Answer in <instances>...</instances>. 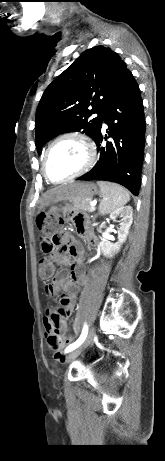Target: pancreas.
Listing matches in <instances>:
<instances>
[{
  "label": "pancreas",
  "mask_w": 165,
  "mask_h": 461,
  "mask_svg": "<svg viewBox=\"0 0 165 461\" xmlns=\"http://www.w3.org/2000/svg\"><path fill=\"white\" fill-rule=\"evenodd\" d=\"M71 202L73 204L74 210H84V211L92 212L95 209L90 206L91 199H88V198H83V199L77 198V199L71 200Z\"/></svg>",
  "instance_id": "pancreas-1"
}]
</instances>
